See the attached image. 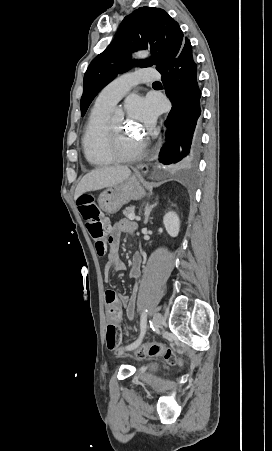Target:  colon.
Wrapping results in <instances>:
<instances>
[{"instance_id": "5ec220e1", "label": "colon", "mask_w": 272, "mask_h": 451, "mask_svg": "<svg viewBox=\"0 0 272 451\" xmlns=\"http://www.w3.org/2000/svg\"><path fill=\"white\" fill-rule=\"evenodd\" d=\"M82 218L86 221L87 228L91 237L95 243V250L99 256L104 255L107 250L106 239L108 238V231L103 230L102 227V213L98 207L96 200L82 196L77 201ZM106 347L108 351L115 355L122 352L119 348L121 345L119 330L116 323L107 321L105 327ZM123 344V343H122ZM130 351H134L135 354H163L164 359H168L171 364H177V357L173 350H165L163 345H153L151 342H146L144 345H140L139 342H130Z\"/></svg>"}]
</instances>
